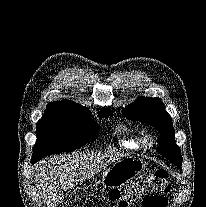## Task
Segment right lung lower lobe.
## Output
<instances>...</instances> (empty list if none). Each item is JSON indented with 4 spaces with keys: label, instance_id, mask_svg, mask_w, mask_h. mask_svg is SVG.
Masks as SVG:
<instances>
[{
    "label": "right lung lower lobe",
    "instance_id": "98d812e1",
    "mask_svg": "<svg viewBox=\"0 0 206 207\" xmlns=\"http://www.w3.org/2000/svg\"><path fill=\"white\" fill-rule=\"evenodd\" d=\"M41 158H32L31 159V164H34L35 162L39 161Z\"/></svg>",
    "mask_w": 206,
    "mask_h": 207
}]
</instances>
